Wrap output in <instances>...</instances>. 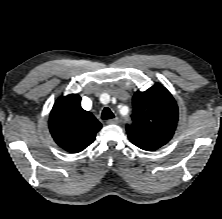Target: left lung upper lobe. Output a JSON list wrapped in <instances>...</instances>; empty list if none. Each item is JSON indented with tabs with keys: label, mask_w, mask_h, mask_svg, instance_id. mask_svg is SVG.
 Here are the masks:
<instances>
[{
	"label": "left lung upper lobe",
	"mask_w": 222,
	"mask_h": 219,
	"mask_svg": "<svg viewBox=\"0 0 222 219\" xmlns=\"http://www.w3.org/2000/svg\"><path fill=\"white\" fill-rule=\"evenodd\" d=\"M133 123L126 126L130 141L137 147L154 151L173 136L177 120V104L169 91L156 83L133 96Z\"/></svg>",
	"instance_id": "1"
}]
</instances>
